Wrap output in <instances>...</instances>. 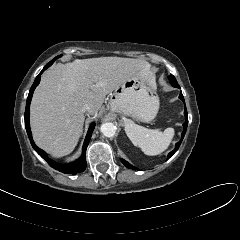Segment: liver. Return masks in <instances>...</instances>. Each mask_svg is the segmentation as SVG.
<instances>
[{"mask_svg": "<svg viewBox=\"0 0 240 240\" xmlns=\"http://www.w3.org/2000/svg\"><path fill=\"white\" fill-rule=\"evenodd\" d=\"M150 64L142 59L100 57L58 63L41 77L31 102L30 124L37 146L53 157L70 154L85 120L82 107L96 115L107 94L134 74L155 82Z\"/></svg>", "mask_w": 240, "mask_h": 240, "instance_id": "liver-1", "label": "liver"}]
</instances>
